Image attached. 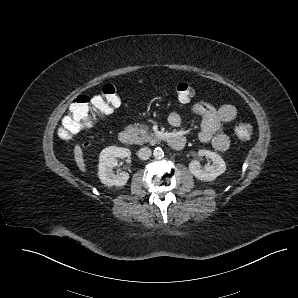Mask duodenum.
Wrapping results in <instances>:
<instances>
[{"label": "duodenum", "mask_w": 298, "mask_h": 298, "mask_svg": "<svg viewBox=\"0 0 298 298\" xmlns=\"http://www.w3.org/2000/svg\"><path fill=\"white\" fill-rule=\"evenodd\" d=\"M118 139L125 145H131L134 142V135L131 130L123 129L118 134ZM168 145L175 150L182 149L186 144V139L180 134H171L167 139Z\"/></svg>", "instance_id": "duodenum-1"}]
</instances>
